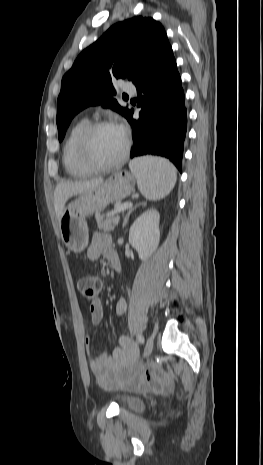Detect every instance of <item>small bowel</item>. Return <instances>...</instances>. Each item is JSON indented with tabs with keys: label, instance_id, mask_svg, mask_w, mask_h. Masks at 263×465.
I'll use <instances>...</instances> for the list:
<instances>
[{
	"label": "small bowel",
	"instance_id": "1",
	"mask_svg": "<svg viewBox=\"0 0 263 465\" xmlns=\"http://www.w3.org/2000/svg\"><path fill=\"white\" fill-rule=\"evenodd\" d=\"M115 252L112 239L108 234L95 233L92 242L87 249V257L90 261H97L101 257L109 260V256ZM127 310V302L119 298L115 304V313L121 317ZM90 320L93 325L99 324L104 317V309L101 301L96 299L89 306ZM85 343L90 355V368L98 383L106 390L117 388H129L135 390L152 389L161 391L167 378L157 370L145 371L134 368L133 364L137 356L136 347L126 336H120L119 346L110 355L106 351L93 352L91 339L86 337Z\"/></svg>",
	"mask_w": 263,
	"mask_h": 465
}]
</instances>
